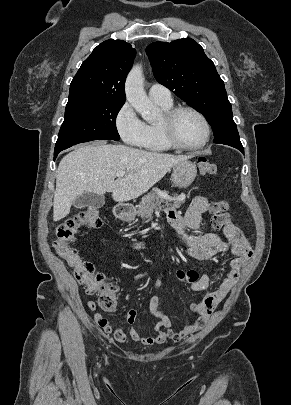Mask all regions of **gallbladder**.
<instances>
[{
	"mask_svg": "<svg viewBox=\"0 0 291 405\" xmlns=\"http://www.w3.org/2000/svg\"><path fill=\"white\" fill-rule=\"evenodd\" d=\"M105 204V197L103 195H97L94 193L85 192L78 196L73 205L77 209L81 208H91L99 209Z\"/></svg>",
	"mask_w": 291,
	"mask_h": 405,
	"instance_id": "1",
	"label": "gallbladder"
}]
</instances>
